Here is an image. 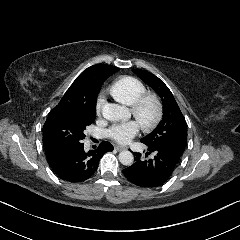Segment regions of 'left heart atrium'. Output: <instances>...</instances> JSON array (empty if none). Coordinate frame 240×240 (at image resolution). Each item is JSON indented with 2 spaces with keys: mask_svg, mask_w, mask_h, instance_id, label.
<instances>
[{
  "mask_svg": "<svg viewBox=\"0 0 240 240\" xmlns=\"http://www.w3.org/2000/svg\"><path fill=\"white\" fill-rule=\"evenodd\" d=\"M139 128L136 121L118 124L108 131V137L120 144H126L137 135Z\"/></svg>",
  "mask_w": 240,
  "mask_h": 240,
  "instance_id": "39dd6f15",
  "label": "left heart atrium"
}]
</instances>
